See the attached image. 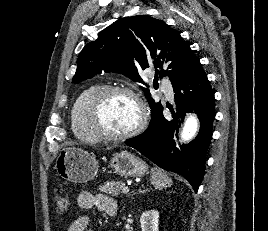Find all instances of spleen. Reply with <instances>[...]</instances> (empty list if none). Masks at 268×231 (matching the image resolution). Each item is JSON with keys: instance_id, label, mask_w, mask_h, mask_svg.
Wrapping results in <instances>:
<instances>
[{"instance_id": "1", "label": "spleen", "mask_w": 268, "mask_h": 231, "mask_svg": "<svg viewBox=\"0 0 268 231\" xmlns=\"http://www.w3.org/2000/svg\"><path fill=\"white\" fill-rule=\"evenodd\" d=\"M151 183L155 188H165L172 185V180L159 168L151 169Z\"/></svg>"}]
</instances>
